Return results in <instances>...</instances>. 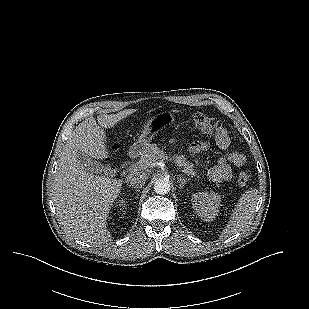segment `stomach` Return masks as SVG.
I'll list each match as a JSON object with an SVG mask.
<instances>
[{
    "mask_svg": "<svg viewBox=\"0 0 309 309\" xmlns=\"http://www.w3.org/2000/svg\"><path fill=\"white\" fill-rule=\"evenodd\" d=\"M174 121V116L170 112H163L153 116L144 125L138 140L134 143L133 148L136 151H142L164 128L168 123Z\"/></svg>",
    "mask_w": 309,
    "mask_h": 309,
    "instance_id": "obj_1",
    "label": "stomach"
}]
</instances>
